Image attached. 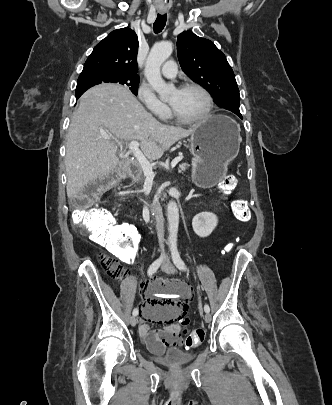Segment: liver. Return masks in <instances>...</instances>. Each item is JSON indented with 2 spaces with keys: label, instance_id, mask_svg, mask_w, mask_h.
<instances>
[{
  "label": "liver",
  "instance_id": "6515ba94",
  "mask_svg": "<svg viewBox=\"0 0 332 405\" xmlns=\"http://www.w3.org/2000/svg\"><path fill=\"white\" fill-rule=\"evenodd\" d=\"M196 130L161 124L129 90L115 84L90 88L80 98L68 130L65 166L67 196L73 198L87 184L116 168L115 139L139 141L151 161L160 159L177 141ZM111 138L106 139L104 136Z\"/></svg>",
  "mask_w": 332,
  "mask_h": 405
}]
</instances>
